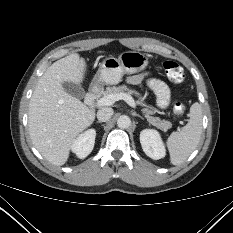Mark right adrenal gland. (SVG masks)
Listing matches in <instances>:
<instances>
[{"mask_svg":"<svg viewBox=\"0 0 233 233\" xmlns=\"http://www.w3.org/2000/svg\"><path fill=\"white\" fill-rule=\"evenodd\" d=\"M97 123H102L101 121H97Z\"/></svg>","mask_w":233,"mask_h":233,"instance_id":"obj_1","label":"right adrenal gland"}]
</instances>
